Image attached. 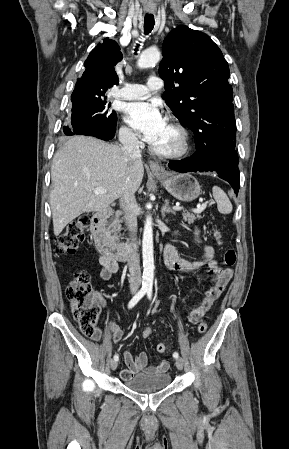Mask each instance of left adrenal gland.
Listing matches in <instances>:
<instances>
[{
    "label": "left adrenal gland",
    "instance_id": "obj_1",
    "mask_svg": "<svg viewBox=\"0 0 289 449\" xmlns=\"http://www.w3.org/2000/svg\"><path fill=\"white\" fill-rule=\"evenodd\" d=\"M166 213H171L173 215H175V213H176L172 208H170L169 200H165V202H164V204H163V206L161 208V214H162L163 218L165 217Z\"/></svg>",
    "mask_w": 289,
    "mask_h": 449
}]
</instances>
